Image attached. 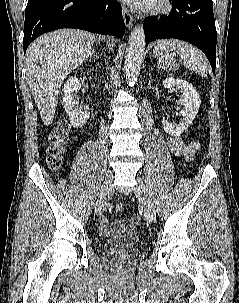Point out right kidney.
I'll return each instance as SVG.
<instances>
[{"mask_svg": "<svg viewBox=\"0 0 239 303\" xmlns=\"http://www.w3.org/2000/svg\"><path fill=\"white\" fill-rule=\"evenodd\" d=\"M80 88V82L76 77L69 78L63 88L64 109L69 116L71 125L75 128L85 125L90 116L89 111H81L75 107L78 102L74 99V93L78 92Z\"/></svg>", "mask_w": 239, "mask_h": 303, "instance_id": "1", "label": "right kidney"}]
</instances>
